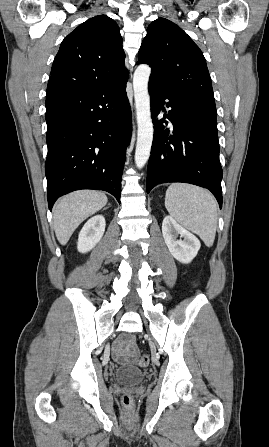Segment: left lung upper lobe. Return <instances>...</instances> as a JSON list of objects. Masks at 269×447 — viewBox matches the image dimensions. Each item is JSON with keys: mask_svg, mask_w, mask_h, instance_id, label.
Instances as JSON below:
<instances>
[{"mask_svg": "<svg viewBox=\"0 0 269 447\" xmlns=\"http://www.w3.org/2000/svg\"><path fill=\"white\" fill-rule=\"evenodd\" d=\"M152 71L149 83L180 97L198 115L216 118L212 83L203 53L176 24L153 21L138 53Z\"/></svg>", "mask_w": 269, "mask_h": 447, "instance_id": "obj_1", "label": "left lung upper lobe"}]
</instances>
